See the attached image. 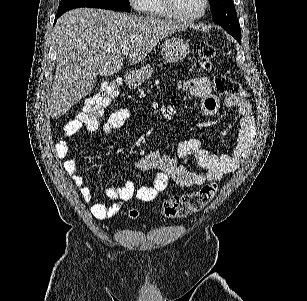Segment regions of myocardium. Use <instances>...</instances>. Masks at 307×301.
I'll return each instance as SVG.
<instances>
[{"label":"myocardium","instance_id":"myocardium-1","mask_svg":"<svg viewBox=\"0 0 307 301\" xmlns=\"http://www.w3.org/2000/svg\"><path fill=\"white\" fill-rule=\"evenodd\" d=\"M163 4L162 17L170 18V22H195V18L203 17L206 13L207 0H201L199 11H172V0H161Z\"/></svg>","mask_w":307,"mask_h":301}]
</instances>
